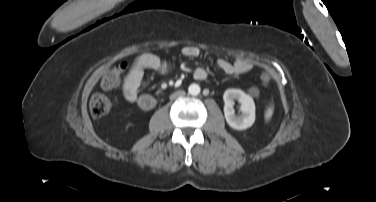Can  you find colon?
<instances>
[{"label":"colon","instance_id":"colon-1","mask_svg":"<svg viewBox=\"0 0 376 202\" xmlns=\"http://www.w3.org/2000/svg\"><path fill=\"white\" fill-rule=\"evenodd\" d=\"M122 67H115L108 70L101 80V87L105 90H111L119 86L120 84V73ZM259 81L261 86L268 87L271 81L270 75L266 72H262L259 76ZM111 102L110 99L102 94L95 92L92 94L89 100L90 113L95 118H100L104 116L110 109Z\"/></svg>","mask_w":376,"mask_h":202}]
</instances>
